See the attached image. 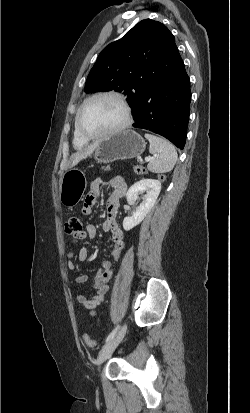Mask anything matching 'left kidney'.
I'll list each match as a JSON object with an SVG mask.
<instances>
[{"mask_svg": "<svg viewBox=\"0 0 250 413\" xmlns=\"http://www.w3.org/2000/svg\"><path fill=\"white\" fill-rule=\"evenodd\" d=\"M160 191L161 183L159 180L154 179H142L129 188L126 194V199L128 202L137 200L138 195L141 193L145 192L146 194L132 216L124 218V230L129 231L143 221L146 215L153 208Z\"/></svg>", "mask_w": 250, "mask_h": 413, "instance_id": "5707ae66", "label": "left kidney"}]
</instances>
